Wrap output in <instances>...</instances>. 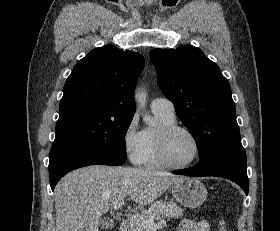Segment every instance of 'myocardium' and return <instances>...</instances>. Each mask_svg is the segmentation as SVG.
Wrapping results in <instances>:
<instances>
[{"instance_id":"obj_1","label":"myocardium","mask_w":280,"mask_h":231,"mask_svg":"<svg viewBox=\"0 0 280 231\" xmlns=\"http://www.w3.org/2000/svg\"><path fill=\"white\" fill-rule=\"evenodd\" d=\"M179 131L189 134L196 143V156L191 162L186 164H176L168 156L167 141L171 135ZM156 151L157 158L162 165L172 169H186L197 164L202 156L203 147L199 137L192 129L175 123L162 125L158 130L156 133Z\"/></svg>"}]
</instances>
